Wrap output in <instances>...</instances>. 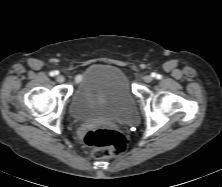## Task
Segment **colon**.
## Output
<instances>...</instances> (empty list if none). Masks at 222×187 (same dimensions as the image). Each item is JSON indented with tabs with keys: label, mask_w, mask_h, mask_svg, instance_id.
Wrapping results in <instances>:
<instances>
[{
	"label": "colon",
	"mask_w": 222,
	"mask_h": 187,
	"mask_svg": "<svg viewBox=\"0 0 222 187\" xmlns=\"http://www.w3.org/2000/svg\"><path fill=\"white\" fill-rule=\"evenodd\" d=\"M84 143L92 149V156L97 159L123 152L128 145L127 138L113 129H89L84 135Z\"/></svg>",
	"instance_id": "5ec220e1"
}]
</instances>
